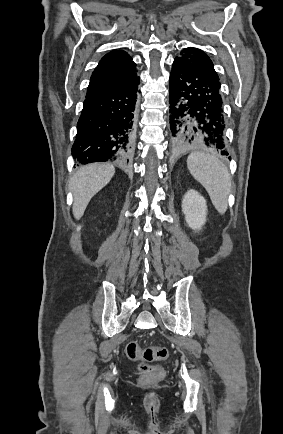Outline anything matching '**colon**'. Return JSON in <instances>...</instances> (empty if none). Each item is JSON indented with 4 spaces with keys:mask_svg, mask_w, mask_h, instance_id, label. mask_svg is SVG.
<instances>
[{
    "mask_svg": "<svg viewBox=\"0 0 283 434\" xmlns=\"http://www.w3.org/2000/svg\"><path fill=\"white\" fill-rule=\"evenodd\" d=\"M126 355L131 360L141 361L139 365L140 379L144 383L158 382L164 377V369L152 362L166 360L170 353L166 347L151 346L142 349L137 341H131L125 349Z\"/></svg>",
    "mask_w": 283,
    "mask_h": 434,
    "instance_id": "1",
    "label": "colon"
}]
</instances>
